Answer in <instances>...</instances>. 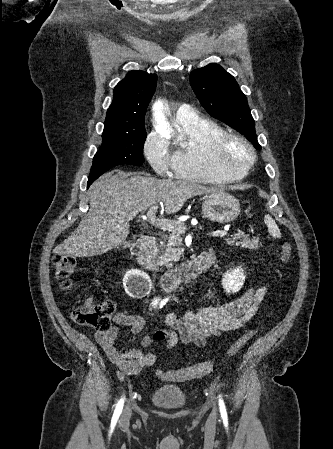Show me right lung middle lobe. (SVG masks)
<instances>
[{
    "label": "right lung middle lobe",
    "mask_w": 333,
    "mask_h": 449,
    "mask_svg": "<svg viewBox=\"0 0 333 449\" xmlns=\"http://www.w3.org/2000/svg\"><path fill=\"white\" fill-rule=\"evenodd\" d=\"M145 139V128L134 135L103 134L102 146L93 158L89 178L97 179L110 168L120 164H143Z\"/></svg>",
    "instance_id": "right-lung-middle-lobe-1"
}]
</instances>
